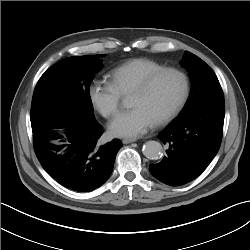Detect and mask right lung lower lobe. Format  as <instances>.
<instances>
[{"instance_id": "1", "label": "right lung lower lobe", "mask_w": 250, "mask_h": 250, "mask_svg": "<svg viewBox=\"0 0 250 250\" xmlns=\"http://www.w3.org/2000/svg\"><path fill=\"white\" fill-rule=\"evenodd\" d=\"M102 133L97 121L37 132L33 134L35 153L45 171L62 186L89 192L109 178L122 147L118 139L100 146L97 140Z\"/></svg>"}]
</instances>
